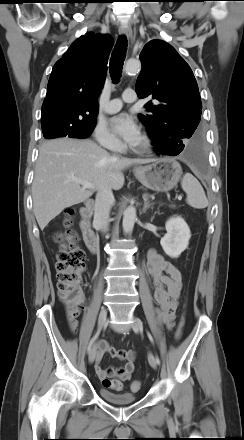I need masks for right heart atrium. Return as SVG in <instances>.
Segmentation results:
<instances>
[{"label":"right heart atrium","mask_w":244,"mask_h":440,"mask_svg":"<svg viewBox=\"0 0 244 440\" xmlns=\"http://www.w3.org/2000/svg\"><path fill=\"white\" fill-rule=\"evenodd\" d=\"M97 142L105 148L118 149L121 145L119 139L111 133L105 123H99L95 129Z\"/></svg>","instance_id":"d8ad5b80"}]
</instances>
